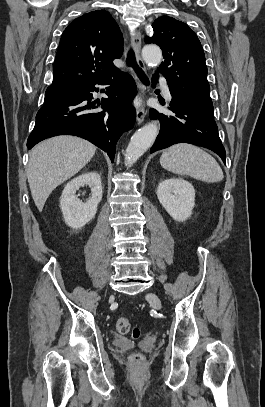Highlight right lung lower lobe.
Returning <instances> with one entry per match:
<instances>
[{
	"instance_id": "1",
	"label": "right lung lower lobe",
	"mask_w": 265,
	"mask_h": 407,
	"mask_svg": "<svg viewBox=\"0 0 265 407\" xmlns=\"http://www.w3.org/2000/svg\"><path fill=\"white\" fill-rule=\"evenodd\" d=\"M96 84L111 85L106 91L107 99L92 101V92L98 91ZM136 92L129 74L115 72L81 84L66 97L44 103L36 115L28 149L49 137L75 135L107 152L113 162L119 137L135 122L136 112L130 103Z\"/></svg>"
}]
</instances>
